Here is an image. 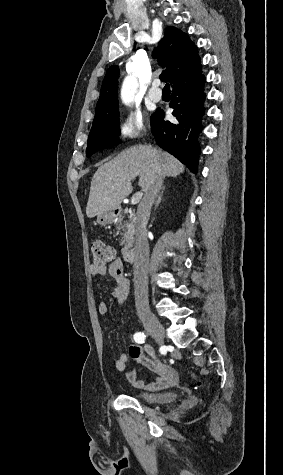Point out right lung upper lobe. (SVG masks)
Masks as SVG:
<instances>
[{
    "label": "right lung upper lobe",
    "instance_id": "cb5924a9",
    "mask_svg": "<svg viewBox=\"0 0 283 475\" xmlns=\"http://www.w3.org/2000/svg\"><path fill=\"white\" fill-rule=\"evenodd\" d=\"M153 58L159 61L160 66L166 67L161 77L166 78L171 84L201 68L197 47L186 33L173 26L165 29L164 38L153 50ZM118 76L117 66L113 65L107 70L96 108L118 105Z\"/></svg>",
    "mask_w": 283,
    "mask_h": 475
}]
</instances>
